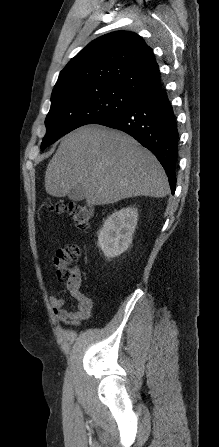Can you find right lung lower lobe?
Returning <instances> with one entry per match:
<instances>
[{
  "instance_id": "right-lung-lower-lobe-1",
  "label": "right lung lower lobe",
  "mask_w": 219,
  "mask_h": 447,
  "mask_svg": "<svg viewBox=\"0 0 219 447\" xmlns=\"http://www.w3.org/2000/svg\"><path fill=\"white\" fill-rule=\"evenodd\" d=\"M96 124L121 130L148 148L165 169L174 194L179 133L172 104L163 88Z\"/></svg>"
}]
</instances>
